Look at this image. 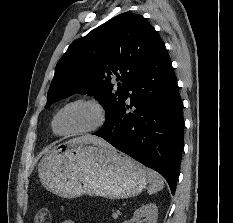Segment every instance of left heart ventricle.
<instances>
[{
    "instance_id": "left-heart-ventricle-1",
    "label": "left heart ventricle",
    "mask_w": 233,
    "mask_h": 223,
    "mask_svg": "<svg viewBox=\"0 0 233 223\" xmlns=\"http://www.w3.org/2000/svg\"><path fill=\"white\" fill-rule=\"evenodd\" d=\"M100 122L98 110L86 103L67 107L59 116L57 129L61 133H74L92 129Z\"/></svg>"
}]
</instances>
